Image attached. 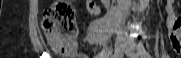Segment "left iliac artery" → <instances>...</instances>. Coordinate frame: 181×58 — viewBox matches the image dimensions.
Returning <instances> with one entry per match:
<instances>
[{
	"instance_id": "44dca946",
	"label": "left iliac artery",
	"mask_w": 181,
	"mask_h": 58,
	"mask_svg": "<svg viewBox=\"0 0 181 58\" xmlns=\"http://www.w3.org/2000/svg\"><path fill=\"white\" fill-rule=\"evenodd\" d=\"M138 52L142 58H151L150 54L146 51L142 42L138 44Z\"/></svg>"
}]
</instances>
